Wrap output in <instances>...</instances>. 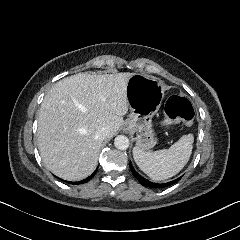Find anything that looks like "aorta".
Listing matches in <instances>:
<instances>
[{
  "mask_svg": "<svg viewBox=\"0 0 240 240\" xmlns=\"http://www.w3.org/2000/svg\"><path fill=\"white\" fill-rule=\"evenodd\" d=\"M114 144L117 149L125 150L129 145V140L125 135H117L114 139Z\"/></svg>",
  "mask_w": 240,
  "mask_h": 240,
  "instance_id": "1",
  "label": "aorta"
}]
</instances>
